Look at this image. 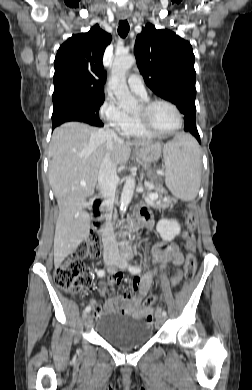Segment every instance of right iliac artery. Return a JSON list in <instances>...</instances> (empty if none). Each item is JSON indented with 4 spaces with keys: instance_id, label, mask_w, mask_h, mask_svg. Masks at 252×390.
<instances>
[{
    "instance_id": "right-iliac-artery-1",
    "label": "right iliac artery",
    "mask_w": 252,
    "mask_h": 390,
    "mask_svg": "<svg viewBox=\"0 0 252 390\" xmlns=\"http://www.w3.org/2000/svg\"><path fill=\"white\" fill-rule=\"evenodd\" d=\"M97 275H98L99 277L105 276V270L100 269V270L97 272ZM90 311H91V307H90V306H87V307L85 308V310H84V314H86V313H88V312H90Z\"/></svg>"
}]
</instances>
